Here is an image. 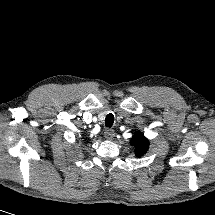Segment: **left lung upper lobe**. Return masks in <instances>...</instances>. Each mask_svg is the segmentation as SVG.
I'll list each match as a JSON object with an SVG mask.
<instances>
[{
    "instance_id": "5c2ea615",
    "label": "left lung upper lobe",
    "mask_w": 215,
    "mask_h": 215,
    "mask_svg": "<svg viewBox=\"0 0 215 215\" xmlns=\"http://www.w3.org/2000/svg\"><path fill=\"white\" fill-rule=\"evenodd\" d=\"M130 144L135 147V154L137 157L143 156L149 147V141L140 132H136L132 137Z\"/></svg>"
}]
</instances>
